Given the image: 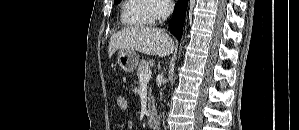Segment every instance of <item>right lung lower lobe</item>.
I'll use <instances>...</instances> for the list:
<instances>
[{
    "label": "right lung lower lobe",
    "instance_id": "1",
    "mask_svg": "<svg viewBox=\"0 0 299 130\" xmlns=\"http://www.w3.org/2000/svg\"><path fill=\"white\" fill-rule=\"evenodd\" d=\"M188 0H178L175 8L172 19L169 23V28L177 39H181L182 29L184 25L185 13L187 9Z\"/></svg>",
    "mask_w": 299,
    "mask_h": 130
}]
</instances>
